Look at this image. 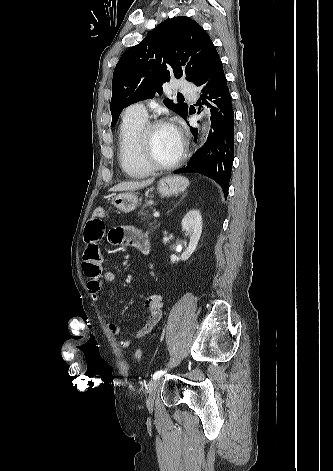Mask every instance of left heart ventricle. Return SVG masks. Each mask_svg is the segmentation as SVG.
<instances>
[{"label":"left heart ventricle","instance_id":"left-heart-ventricle-1","mask_svg":"<svg viewBox=\"0 0 333 471\" xmlns=\"http://www.w3.org/2000/svg\"><path fill=\"white\" fill-rule=\"evenodd\" d=\"M181 144L171 126H162L150 136L152 154L162 163L173 161L180 151Z\"/></svg>","mask_w":333,"mask_h":471}]
</instances>
